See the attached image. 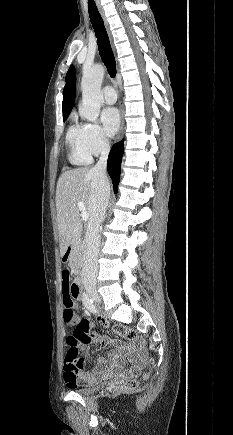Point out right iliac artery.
<instances>
[{
  "label": "right iliac artery",
  "mask_w": 233,
  "mask_h": 435,
  "mask_svg": "<svg viewBox=\"0 0 233 435\" xmlns=\"http://www.w3.org/2000/svg\"><path fill=\"white\" fill-rule=\"evenodd\" d=\"M83 304H84V306H85V307H86L90 312H93V313H97V312H98V310H97L95 304L93 303L92 299L89 298L88 294L85 293V292L83 293Z\"/></svg>",
  "instance_id": "obj_1"
}]
</instances>
